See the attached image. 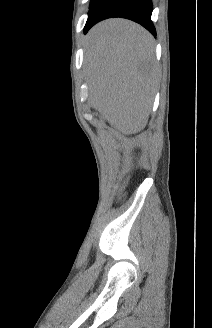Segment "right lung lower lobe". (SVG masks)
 <instances>
[{
  "mask_svg": "<svg viewBox=\"0 0 212 328\" xmlns=\"http://www.w3.org/2000/svg\"><path fill=\"white\" fill-rule=\"evenodd\" d=\"M152 9L151 0H98L89 10L84 33L101 20L121 17L141 24L156 36V30L151 21Z\"/></svg>",
  "mask_w": 212,
  "mask_h": 328,
  "instance_id": "right-lung-lower-lobe-1",
  "label": "right lung lower lobe"
}]
</instances>
